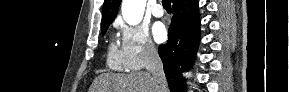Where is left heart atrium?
I'll return each mask as SVG.
<instances>
[{"mask_svg":"<svg viewBox=\"0 0 289 92\" xmlns=\"http://www.w3.org/2000/svg\"><path fill=\"white\" fill-rule=\"evenodd\" d=\"M153 37L156 42L161 43L167 37L165 26L161 22H156L152 27Z\"/></svg>","mask_w":289,"mask_h":92,"instance_id":"1","label":"left heart atrium"}]
</instances>
